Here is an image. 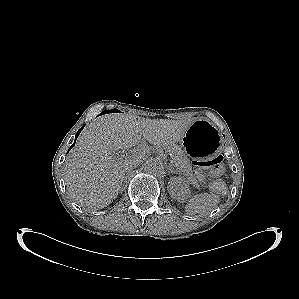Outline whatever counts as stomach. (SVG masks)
Returning <instances> with one entry per match:
<instances>
[{
	"label": "stomach",
	"mask_w": 299,
	"mask_h": 299,
	"mask_svg": "<svg viewBox=\"0 0 299 299\" xmlns=\"http://www.w3.org/2000/svg\"><path fill=\"white\" fill-rule=\"evenodd\" d=\"M220 133L208 119L195 120L183 140L187 154L196 161L211 159L219 149Z\"/></svg>",
	"instance_id": "obj_1"
}]
</instances>
